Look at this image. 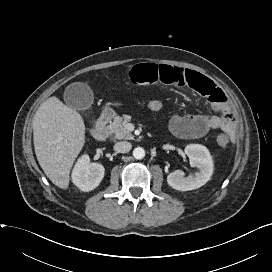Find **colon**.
I'll list each match as a JSON object with an SVG mask.
<instances>
[{"mask_svg":"<svg viewBox=\"0 0 272 272\" xmlns=\"http://www.w3.org/2000/svg\"><path fill=\"white\" fill-rule=\"evenodd\" d=\"M146 107L151 111H159L163 108V102L160 100H149L146 102ZM216 142L220 146H226L229 143V137L224 133H220L216 136Z\"/></svg>","mask_w":272,"mask_h":272,"instance_id":"5ec220e1","label":"colon"}]
</instances>
